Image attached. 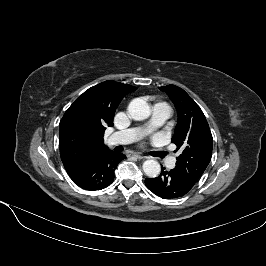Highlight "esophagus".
Returning <instances> with one entry per match:
<instances>
[{"mask_svg":"<svg viewBox=\"0 0 266 266\" xmlns=\"http://www.w3.org/2000/svg\"><path fill=\"white\" fill-rule=\"evenodd\" d=\"M132 156L135 157L136 159H139V160L145 158L144 156L139 155L137 153H133Z\"/></svg>","mask_w":266,"mask_h":266,"instance_id":"obj_1","label":"esophagus"}]
</instances>
